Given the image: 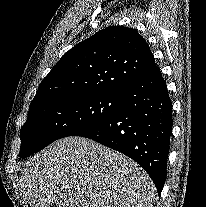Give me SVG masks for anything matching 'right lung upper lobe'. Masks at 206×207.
<instances>
[{"label": "right lung upper lobe", "instance_id": "cb5924a9", "mask_svg": "<svg viewBox=\"0 0 206 207\" xmlns=\"http://www.w3.org/2000/svg\"><path fill=\"white\" fill-rule=\"evenodd\" d=\"M156 68L136 30L110 26L63 55L39 85L30 107L61 96L123 94Z\"/></svg>", "mask_w": 206, "mask_h": 207}]
</instances>
